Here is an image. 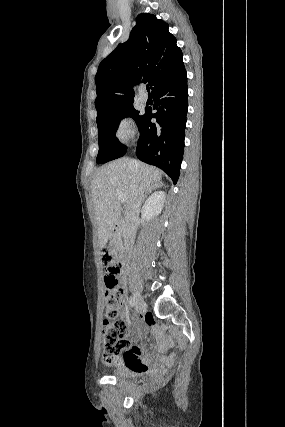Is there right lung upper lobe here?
<instances>
[{
  "label": "right lung upper lobe",
  "instance_id": "obj_1",
  "mask_svg": "<svg viewBox=\"0 0 285 427\" xmlns=\"http://www.w3.org/2000/svg\"><path fill=\"white\" fill-rule=\"evenodd\" d=\"M183 71L182 52L168 31V24L152 14L138 15L129 40L119 44L98 67L97 124L133 105L134 84L147 80L153 91Z\"/></svg>",
  "mask_w": 285,
  "mask_h": 427
}]
</instances>
